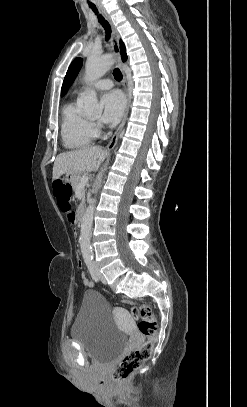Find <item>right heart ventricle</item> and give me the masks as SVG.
I'll use <instances>...</instances> for the list:
<instances>
[{
	"mask_svg": "<svg viewBox=\"0 0 247 407\" xmlns=\"http://www.w3.org/2000/svg\"><path fill=\"white\" fill-rule=\"evenodd\" d=\"M95 137L92 123L81 114L74 102L65 104L61 118V138L68 149H81Z\"/></svg>",
	"mask_w": 247,
	"mask_h": 407,
	"instance_id": "obj_1",
	"label": "right heart ventricle"
}]
</instances>
